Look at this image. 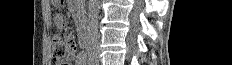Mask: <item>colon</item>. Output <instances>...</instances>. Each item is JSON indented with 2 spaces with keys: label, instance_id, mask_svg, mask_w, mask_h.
Listing matches in <instances>:
<instances>
[{
  "label": "colon",
  "instance_id": "obj_1",
  "mask_svg": "<svg viewBox=\"0 0 232 65\" xmlns=\"http://www.w3.org/2000/svg\"><path fill=\"white\" fill-rule=\"evenodd\" d=\"M75 43L72 37L55 35L52 40V53L54 61L59 64H68L75 53Z\"/></svg>",
  "mask_w": 232,
  "mask_h": 65
}]
</instances>
